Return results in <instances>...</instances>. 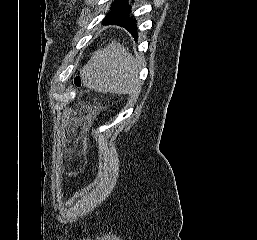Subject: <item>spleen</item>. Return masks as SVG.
Wrapping results in <instances>:
<instances>
[{
	"label": "spleen",
	"mask_w": 257,
	"mask_h": 240,
	"mask_svg": "<svg viewBox=\"0 0 257 240\" xmlns=\"http://www.w3.org/2000/svg\"><path fill=\"white\" fill-rule=\"evenodd\" d=\"M141 62L115 41L96 52L83 69L86 85L97 91L131 94L141 89Z\"/></svg>",
	"instance_id": "3e777b00"
}]
</instances>
